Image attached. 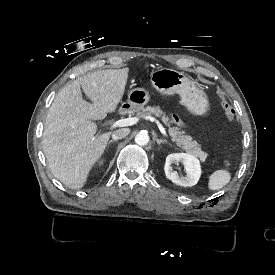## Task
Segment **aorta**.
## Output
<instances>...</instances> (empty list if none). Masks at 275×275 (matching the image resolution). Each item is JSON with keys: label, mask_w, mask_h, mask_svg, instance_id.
<instances>
[{"label": "aorta", "mask_w": 275, "mask_h": 275, "mask_svg": "<svg viewBox=\"0 0 275 275\" xmlns=\"http://www.w3.org/2000/svg\"><path fill=\"white\" fill-rule=\"evenodd\" d=\"M150 138L147 132L141 131L136 134L135 136V143L139 146H145L148 144Z\"/></svg>", "instance_id": "762f6f07"}]
</instances>
